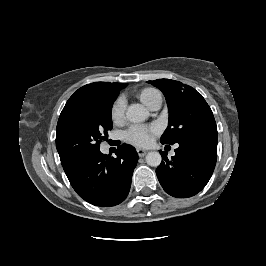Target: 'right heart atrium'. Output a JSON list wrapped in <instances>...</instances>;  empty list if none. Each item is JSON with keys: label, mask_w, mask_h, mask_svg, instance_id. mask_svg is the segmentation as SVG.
Wrapping results in <instances>:
<instances>
[{"label": "right heart atrium", "mask_w": 266, "mask_h": 266, "mask_svg": "<svg viewBox=\"0 0 266 266\" xmlns=\"http://www.w3.org/2000/svg\"><path fill=\"white\" fill-rule=\"evenodd\" d=\"M111 116L114 122H120L125 116V100L119 97L112 106Z\"/></svg>", "instance_id": "obj_1"}]
</instances>
